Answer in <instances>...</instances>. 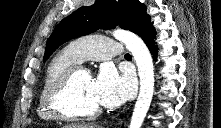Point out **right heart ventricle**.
<instances>
[{
  "label": "right heart ventricle",
  "mask_w": 221,
  "mask_h": 128,
  "mask_svg": "<svg viewBox=\"0 0 221 128\" xmlns=\"http://www.w3.org/2000/svg\"><path fill=\"white\" fill-rule=\"evenodd\" d=\"M81 62L82 61L79 59L78 54L70 46H67L57 52L49 61L37 102V112L40 117L44 119L54 118V116L45 108V94L50 86L63 74H65L68 69L78 66Z\"/></svg>",
  "instance_id": "obj_1"
}]
</instances>
